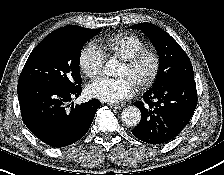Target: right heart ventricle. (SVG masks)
<instances>
[{"label":"right heart ventricle","instance_id":"e07e8e85","mask_svg":"<svg viewBox=\"0 0 224 175\" xmlns=\"http://www.w3.org/2000/svg\"><path fill=\"white\" fill-rule=\"evenodd\" d=\"M101 45L109 53L123 60L129 59L145 49V44L137 35L129 33L116 34L102 40Z\"/></svg>","mask_w":224,"mask_h":175}]
</instances>
